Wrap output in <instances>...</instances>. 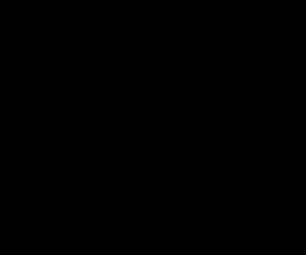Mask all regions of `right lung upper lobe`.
Segmentation results:
<instances>
[{
    "mask_svg": "<svg viewBox=\"0 0 306 255\" xmlns=\"http://www.w3.org/2000/svg\"><path fill=\"white\" fill-rule=\"evenodd\" d=\"M120 75L88 78L65 96L56 120L55 148L68 188L83 199L101 197L119 176L110 158Z\"/></svg>",
    "mask_w": 306,
    "mask_h": 255,
    "instance_id": "right-lung-upper-lobe-1",
    "label": "right lung upper lobe"
}]
</instances>
